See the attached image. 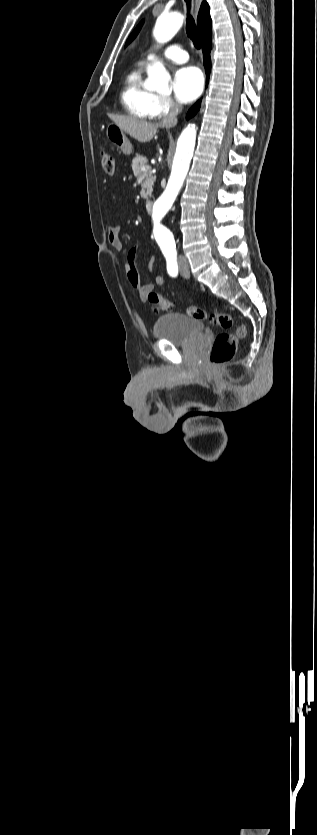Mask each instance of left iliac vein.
<instances>
[{"label":"left iliac vein","mask_w":317,"mask_h":835,"mask_svg":"<svg viewBox=\"0 0 317 835\" xmlns=\"http://www.w3.org/2000/svg\"><path fill=\"white\" fill-rule=\"evenodd\" d=\"M179 269H180L181 275L184 278H189V276H190L189 264H188V261H187L186 258L183 257L179 260Z\"/></svg>","instance_id":"1"}]
</instances>
